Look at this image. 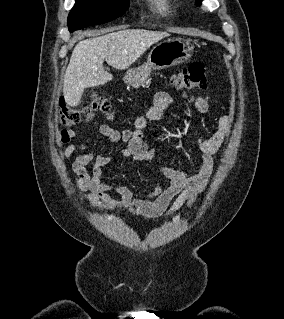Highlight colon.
Returning <instances> with one entry per match:
<instances>
[{
  "label": "colon",
  "instance_id": "obj_1",
  "mask_svg": "<svg viewBox=\"0 0 284 319\" xmlns=\"http://www.w3.org/2000/svg\"><path fill=\"white\" fill-rule=\"evenodd\" d=\"M171 83L178 89H205L207 81L205 77V66L201 62H193L190 65L178 70L171 77ZM96 112H111V106L107 99L101 96H94L87 105L77 109H63L59 119L63 126L69 128Z\"/></svg>",
  "mask_w": 284,
  "mask_h": 319
}]
</instances>
